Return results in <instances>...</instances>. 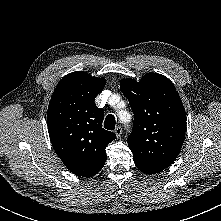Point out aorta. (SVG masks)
Wrapping results in <instances>:
<instances>
[{"label": "aorta", "instance_id": "1", "mask_svg": "<svg viewBox=\"0 0 221 221\" xmlns=\"http://www.w3.org/2000/svg\"><path fill=\"white\" fill-rule=\"evenodd\" d=\"M116 95H114V97H115ZM127 113L125 112V113H123V115H126Z\"/></svg>", "mask_w": 221, "mask_h": 221}]
</instances>
